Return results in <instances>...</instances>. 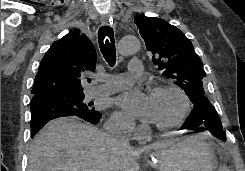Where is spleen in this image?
<instances>
[{
  "mask_svg": "<svg viewBox=\"0 0 245 171\" xmlns=\"http://www.w3.org/2000/svg\"><path fill=\"white\" fill-rule=\"evenodd\" d=\"M218 171H230L226 165H222L219 167Z\"/></svg>",
  "mask_w": 245,
  "mask_h": 171,
  "instance_id": "3e777b00",
  "label": "spleen"
}]
</instances>
